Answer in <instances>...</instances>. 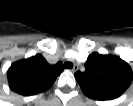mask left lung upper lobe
Listing matches in <instances>:
<instances>
[{
	"mask_svg": "<svg viewBox=\"0 0 133 106\" xmlns=\"http://www.w3.org/2000/svg\"><path fill=\"white\" fill-rule=\"evenodd\" d=\"M85 72H76L83 93L95 100H111L119 97L131 84L130 66L114 55L92 53L85 63Z\"/></svg>",
	"mask_w": 133,
	"mask_h": 106,
	"instance_id": "1",
	"label": "left lung upper lobe"
}]
</instances>
